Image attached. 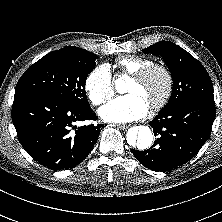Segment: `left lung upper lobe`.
<instances>
[{
    "label": "left lung upper lobe",
    "instance_id": "obj_1",
    "mask_svg": "<svg viewBox=\"0 0 222 222\" xmlns=\"http://www.w3.org/2000/svg\"><path fill=\"white\" fill-rule=\"evenodd\" d=\"M160 55L170 69L173 90L168 103L161 111L170 110L190 100L214 101L213 85L204 66L180 46L160 41L143 50Z\"/></svg>",
    "mask_w": 222,
    "mask_h": 222
}]
</instances>
